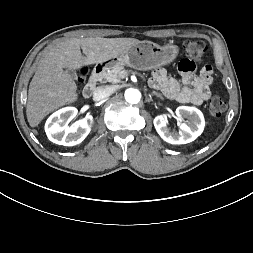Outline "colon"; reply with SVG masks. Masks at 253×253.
Segmentation results:
<instances>
[{"label": "colon", "instance_id": "1", "mask_svg": "<svg viewBox=\"0 0 253 253\" xmlns=\"http://www.w3.org/2000/svg\"><path fill=\"white\" fill-rule=\"evenodd\" d=\"M185 58L198 59L200 63L208 60L211 56L208 45L200 40H188L184 44ZM88 74V68L82 67L79 70V82L84 83ZM225 110V103L219 97H214L209 102V112L214 117H219Z\"/></svg>", "mask_w": 253, "mask_h": 253}]
</instances>
